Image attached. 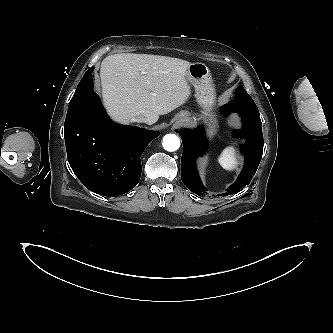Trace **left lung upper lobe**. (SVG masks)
I'll return each mask as SVG.
<instances>
[{
  "instance_id": "1",
  "label": "left lung upper lobe",
  "mask_w": 333,
  "mask_h": 333,
  "mask_svg": "<svg viewBox=\"0 0 333 333\" xmlns=\"http://www.w3.org/2000/svg\"><path fill=\"white\" fill-rule=\"evenodd\" d=\"M236 97L241 98V99L246 100V101H251L252 100V98L244 90L243 86H239L236 89Z\"/></svg>"
}]
</instances>
